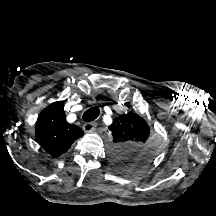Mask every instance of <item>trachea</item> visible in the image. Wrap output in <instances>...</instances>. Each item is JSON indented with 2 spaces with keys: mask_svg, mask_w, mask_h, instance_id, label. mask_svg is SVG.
<instances>
[{
  "mask_svg": "<svg viewBox=\"0 0 216 216\" xmlns=\"http://www.w3.org/2000/svg\"><path fill=\"white\" fill-rule=\"evenodd\" d=\"M100 113V109L98 107H92L84 112L82 118L85 122L94 121Z\"/></svg>",
  "mask_w": 216,
  "mask_h": 216,
  "instance_id": "3493384b",
  "label": "trachea"
}]
</instances>
